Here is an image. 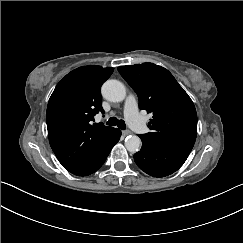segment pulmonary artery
I'll use <instances>...</instances> for the list:
<instances>
[{
    "mask_svg": "<svg viewBox=\"0 0 243 243\" xmlns=\"http://www.w3.org/2000/svg\"><path fill=\"white\" fill-rule=\"evenodd\" d=\"M138 99L135 94L128 93L125 102H124V117L128 118L138 114Z\"/></svg>",
    "mask_w": 243,
    "mask_h": 243,
    "instance_id": "obj_1",
    "label": "pulmonary artery"
}]
</instances>
